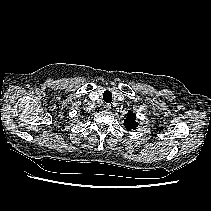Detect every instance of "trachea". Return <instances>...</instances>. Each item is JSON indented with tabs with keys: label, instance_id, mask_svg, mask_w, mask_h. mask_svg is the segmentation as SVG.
Listing matches in <instances>:
<instances>
[{
	"label": "trachea",
	"instance_id": "trachea-1",
	"mask_svg": "<svg viewBox=\"0 0 211 211\" xmlns=\"http://www.w3.org/2000/svg\"><path fill=\"white\" fill-rule=\"evenodd\" d=\"M112 93L108 90H106L104 93H103V100L106 102V103H111L112 102Z\"/></svg>",
	"mask_w": 211,
	"mask_h": 211
}]
</instances>
